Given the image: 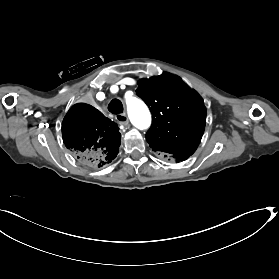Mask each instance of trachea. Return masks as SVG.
<instances>
[{
	"label": "trachea",
	"mask_w": 279,
	"mask_h": 279,
	"mask_svg": "<svg viewBox=\"0 0 279 279\" xmlns=\"http://www.w3.org/2000/svg\"><path fill=\"white\" fill-rule=\"evenodd\" d=\"M108 110L112 114L122 113L123 112V104H122L121 100L113 99L108 105Z\"/></svg>",
	"instance_id": "3493384b"
}]
</instances>
